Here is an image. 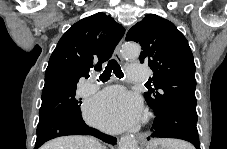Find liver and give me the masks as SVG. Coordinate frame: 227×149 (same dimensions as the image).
<instances>
[{
	"instance_id": "liver-1",
	"label": "liver",
	"mask_w": 227,
	"mask_h": 149,
	"mask_svg": "<svg viewBox=\"0 0 227 149\" xmlns=\"http://www.w3.org/2000/svg\"><path fill=\"white\" fill-rule=\"evenodd\" d=\"M41 149H103V147L93 137L64 136L49 141Z\"/></svg>"
}]
</instances>
